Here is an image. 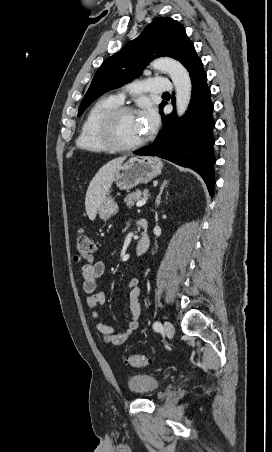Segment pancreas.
I'll return each mask as SVG.
<instances>
[{
	"label": "pancreas",
	"mask_w": 272,
	"mask_h": 452,
	"mask_svg": "<svg viewBox=\"0 0 272 452\" xmlns=\"http://www.w3.org/2000/svg\"><path fill=\"white\" fill-rule=\"evenodd\" d=\"M148 193V190H144L141 192L140 190H136L135 192H132L128 194L124 198V203L127 205V207H133L135 202H137L142 196H145Z\"/></svg>",
	"instance_id": "1"
}]
</instances>
